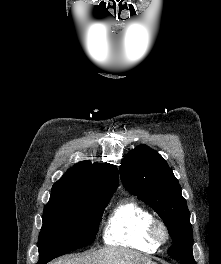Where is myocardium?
Segmentation results:
<instances>
[{"mask_svg": "<svg viewBox=\"0 0 221 264\" xmlns=\"http://www.w3.org/2000/svg\"><path fill=\"white\" fill-rule=\"evenodd\" d=\"M148 232L152 241L158 246L165 244L170 238L166 224L160 219H152Z\"/></svg>", "mask_w": 221, "mask_h": 264, "instance_id": "1", "label": "myocardium"}]
</instances>
